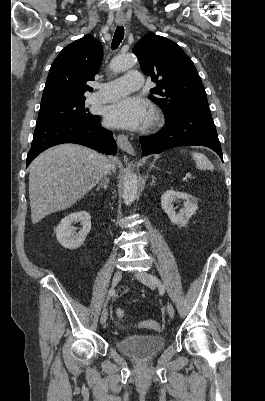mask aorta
I'll use <instances>...</instances> for the list:
<instances>
[{
	"mask_svg": "<svg viewBox=\"0 0 265 401\" xmlns=\"http://www.w3.org/2000/svg\"><path fill=\"white\" fill-rule=\"evenodd\" d=\"M135 62H137L136 56L133 54H122L121 62L119 56L111 60L109 66L113 72H120V70H126V68H132ZM138 180L137 174L126 170L123 176V190L122 196L125 205H131L137 196Z\"/></svg>",
	"mask_w": 265,
	"mask_h": 401,
	"instance_id": "obj_1",
	"label": "aorta"
}]
</instances>
